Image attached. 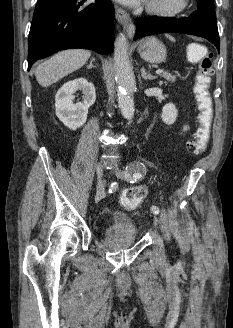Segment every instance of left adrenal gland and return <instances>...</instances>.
Returning <instances> with one entry per match:
<instances>
[{"label": "left adrenal gland", "instance_id": "a2214340", "mask_svg": "<svg viewBox=\"0 0 233 328\" xmlns=\"http://www.w3.org/2000/svg\"><path fill=\"white\" fill-rule=\"evenodd\" d=\"M141 76L145 80H154V79H156V76H152L150 73L146 72L144 67H142V69H141Z\"/></svg>", "mask_w": 233, "mask_h": 328}]
</instances>
